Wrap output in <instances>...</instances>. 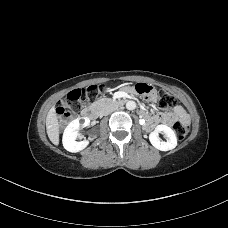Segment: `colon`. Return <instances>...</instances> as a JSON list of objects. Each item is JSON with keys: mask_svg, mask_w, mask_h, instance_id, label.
<instances>
[{"mask_svg": "<svg viewBox=\"0 0 228 228\" xmlns=\"http://www.w3.org/2000/svg\"><path fill=\"white\" fill-rule=\"evenodd\" d=\"M104 88L103 85H93L87 88L74 89L70 91L65 100L62 101L56 108V114L62 123L69 122L75 114V109L80 105L82 100L86 102H92L96 99L97 94ZM135 91L138 94L144 96H151L157 94L158 106L161 109H167L176 105L175 97L164 89H160L157 92L154 88L145 83H138L135 85ZM174 131L178 139L183 140L187 137L189 128L187 124L181 121H177L173 125Z\"/></svg>", "mask_w": 228, "mask_h": 228, "instance_id": "5ec220e1", "label": "colon"}]
</instances>
